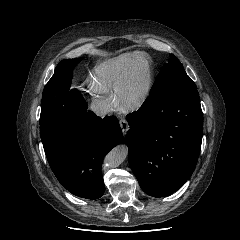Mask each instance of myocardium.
<instances>
[{
  "label": "myocardium",
  "instance_id": "obj_1",
  "mask_svg": "<svg viewBox=\"0 0 240 240\" xmlns=\"http://www.w3.org/2000/svg\"><path fill=\"white\" fill-rule=\"evenodd\" d=\"M151 88L152 73L148 63L140 68L130 63L115 87L117 104L124 110L137 109L148 98Z\"/></svg>",
  "mask_w": 240,
  "mask_h": 240
}]
</instances>
